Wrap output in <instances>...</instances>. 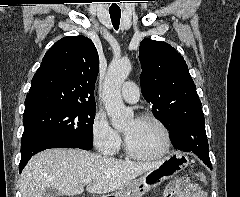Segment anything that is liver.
Masks as SVG:
<instances>
[{"mask_svg":"<svg viewBox=\"0 0 240 197\" xmlns=\"http://www.w3.org/2000/svg\"><path fill=\"white\" fill-rule=\"evenodd\" d=\"M158 162H133L97 155L80 149H49L33 156L20 177L22 197H42L47 188L73 196L86 190L105 194L119 190L137 176L159 166Z\"/></svg>","mask_w":240,"mask_h":197,"instance_id":"obj_1","label":"liver"}]
</instances>
